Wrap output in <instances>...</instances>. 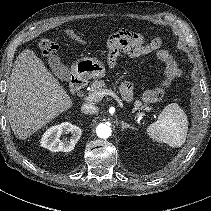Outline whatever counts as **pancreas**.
<instances>
[{"instance_id": "obj_1", "label": "pancreas", "mask_w": 211, "mask_h": 211, "mask_svg": "<svg viewBox=\"0 0 211 211\" xmlns=\"http://www.w3.org/2000/svg\"><path fill=\"white\" fill-rule=\"evenodd\" d=\"M109 91L105 85V82L103 80H95L91 83V87L90 90L88 92L89 97L92 98L93 101H100L102 100L103 96L105 94H103V92ZM152 108L149 107L147 104L142 105V102L139 100H136L134 102V108L133 111H137V110H145V111H150Z\"/></svg>"}]
</instances>
